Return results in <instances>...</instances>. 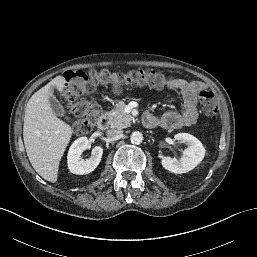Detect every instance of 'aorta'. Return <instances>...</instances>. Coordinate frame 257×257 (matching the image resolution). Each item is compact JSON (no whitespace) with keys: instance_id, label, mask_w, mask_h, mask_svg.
<instances>
[{"instance_id":"obj_1","label":"aorta","mask_w":257,"mask_h":257,"mask_svg":"<svg viewBox=\"0 0 257 257\" xmlns=\"http://www.w3.org/2000/svg\"><path fill=\"white\" fill-rule=\"evenodd\" d=\"M131 143L139 145L143 141V135L139 131H135L130 136Z\"/></svg>"}]
</instances>
